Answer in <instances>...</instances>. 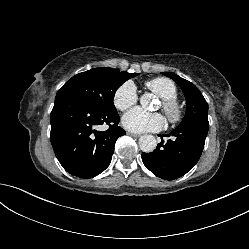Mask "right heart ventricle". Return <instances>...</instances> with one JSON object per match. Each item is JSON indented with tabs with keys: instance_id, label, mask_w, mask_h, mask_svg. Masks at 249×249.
I'll return each mask as SVG.
<instances>
[{
	"instance_id": "obj_1",
	"label": "right heart ventricle",
	"mask_w": 249,
	"mask_h": 249,
	"mask_svg": "<svg viewBox=\"0 0 249 249\" xmlns=\"http://www.w3.org/2000/svg\"><path fill=\"white\" fill-rule=\"evenodd\" d=\"M145 86L161 99L175 100L178 90L175 83L164 77H157L145 82Z\"/></svg>"
}]
</instances>
